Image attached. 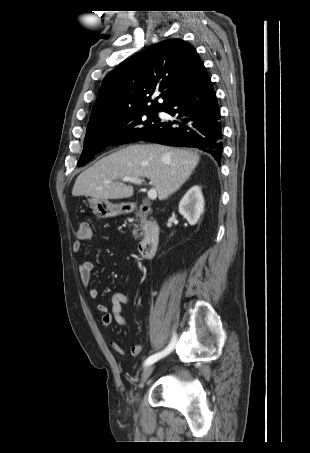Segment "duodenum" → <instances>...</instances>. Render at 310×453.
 Masks as SVG:
<instances>
[{
	"label": "duodenum",
	"mask_w": 310,
	"mask_h": 453,
	"mask_svg": "<svg viewBox=\"0 0 310 453\" xmlns=\"http://www.w3.org/2000/svg\"><path fill=\"white\" fill-rule=\"evenodd\" d=\"M126 214L137 213L141 217H148L151 212L149 204L144 203L138 207H129L124 210ZM160 239V227L154 220L148 221L146 224V230L142 240L138 245L139 254L145 258H151L157 251L158 243Z\"/></svg>",
	"instance_id": "obj_1"
}]
</instances>
